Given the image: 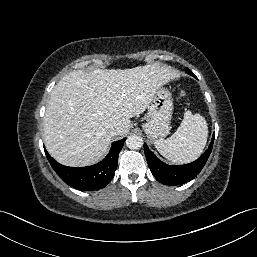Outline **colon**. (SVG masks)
Instances as JSON below:
<instances>
[{
	"instance_id": "obj_1",
	"label": "colon",
	"mask_w": 257,
	"mask_h": 257,
	"mask_svg": "<svg viewBox=\"0 0 257 257\" xmlns=\"http://www.w3.org/2000/svg\"><path fill=\"white\" fill-rule=\"evenodd\" d=\"M176 90H177L178 95H179L180 97H183V96L185 95V92H184L183 88H182L180 85H177V86H176Z\"/></svg>"
}]
</instances>
